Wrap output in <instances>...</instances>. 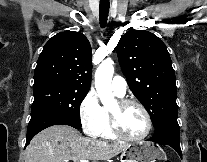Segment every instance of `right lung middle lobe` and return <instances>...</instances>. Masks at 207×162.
I'll return each mask as SVG.
<instances>
[{
	"instance_id": "right-lung-middle-lobe-1",
	"label": "right lung middle lobe",
	"mask_w": 207,
	"mask_h": 162,
	"mask_svg": "<svg viewBox=\"0 0 207 162\" xmlns=\"http://www.w3.org/2000/svg\"><path fill=\"white\" fill-rule=\"evenodd\" d=\"M33 90L31 117L39 114H56L81 125L79 109L87 91L54 85L36 87Z\"/></svg>"
}]
</instances>
